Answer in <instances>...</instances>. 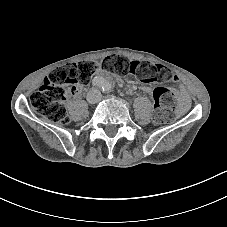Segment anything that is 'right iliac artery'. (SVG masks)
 Masks as SVG:
<instances>
[{
    "label": "right iliac artery",
    "instance_id": "right-iliac-artery-1",
    "mask_svg": "<svg viewBox=\"0 0 227 227\" xmlns=\"http://www.w3.org/2000/svg\"><path fill=\"white\" fill-rule=\"evenodd\" d=\"M93 85L96 86V87H103L104 81L98 79V80H96V81L93 83Z\"/></svg>",
    "mask_w": 227,
    "mask_h": 227
}]
</instances>
